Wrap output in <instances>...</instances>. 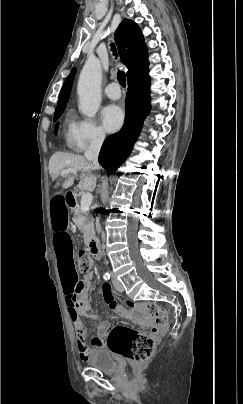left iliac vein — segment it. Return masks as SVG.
<instances>
[{
  "instance_id": "1",
  "label": "left iliac vein",
  "mask_w": 243,
  "mask_h": 404,
  "mask_svg": "<svg viewBox=\"0 0 243 404\" xmlns=\"http://www.w3.org/2000/svg\"><path fill=\"white\" fill-rule=\"evenodd\" d=\"M114 285H115V288L117 291H119V292L124 291V287H123L122 283L115 278H114Z\"/></svg>"
}]
</instances>
